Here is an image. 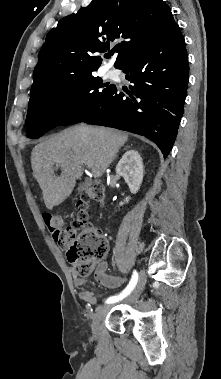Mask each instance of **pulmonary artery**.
<instances>
[{"instance_id":"pulmonary-artery-1","label":"pulmonary artery","mask_w":221,"mask_h":379,"mask_svg":"<svg viewBox=\"0 0 221 379\" xmlns=\"http://www.w3.org/2000/svg\"><path fill=\"white\" fill-rule=\"evenodd\" d=\"M107 75L108 76H113L114 75V71L113 70H108L107 71Z\"/></svg>"}]
</instances>
